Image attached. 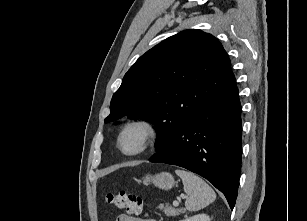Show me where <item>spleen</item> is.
I'll list each match as a JSON object with an SVG mask.
<instances>
[{
	"label": "spleen",
	"mask_w": 307,
	"mask_h": 221,
	"mask_svg": "<svg viewBox=\"0 0 307 221\" xmlns=\"http://www.w3.org/2000/svg\"><path fill=\"white\" fill-rule=\"evenodd\" d=\"M175 173L182 179L184 192L188 195L187 210L198 211L215 201L214 190L202 178L186 170L177 169Z\"/></svg>",
	"instance_id": "spleen-1"
}]
</instances>
